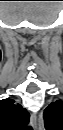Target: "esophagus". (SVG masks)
Masks as SVG:
<instances>
[{
	"label": "esophagus",
	"instance_id": "esophagus-1",
	"mask_svg": "<svg viewBox=\"0 0 63 130\" xmlns=\"http://www.w3.org/2000/svg\"><path fill=\"white\" fill-rule=\"evenodd\" d=\"M30 122H31V126L33 127V129L37 130V116L36 114H31V117H30Z\"/></svg>",
	"mask_w": 63,
	"mask_h": 130
}]
</instances>
